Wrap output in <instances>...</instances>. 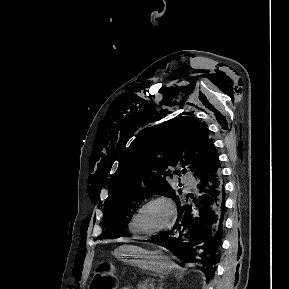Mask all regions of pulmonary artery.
Segmentation results:
<instances>
[{
  "instance_id": "pulmonary-artery-1",
  "label": "pulmonary artery",
  "mask_w": 289,
  "mask_h": 289,
  "mask_svg": "<svg viewBox=\"0 0 289 289\" xmlns=\"http://www.w3.org/2000/svg\"><path fill=\"white\" fill-rule=\"evenodd\" d=\"M186 182H187V183H189V184H191V183H192V181H191V180H187Z\"/></svg>"
}]
</instances>
